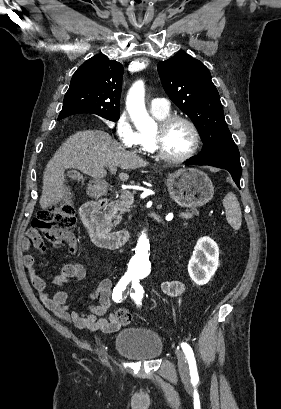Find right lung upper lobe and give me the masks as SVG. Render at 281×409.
I'll return each instance as SVG.
<instances>
[{
  "label": "right lung upper lobe",
  "instance_id": "1",
  "mask_svg": "<svg viewBox=\"0 0 281 409\" xmlns=\"http://www.w3.org/2000/svg\"><path fill=\"white\" fill-rule=\"evenodd\" d=\"M123 66L97 54L74 73L58 120L78 113L119 115Z\"/></svg>",
  "mask_w": 281,
  "mask_h": 409
}]
</instances>
